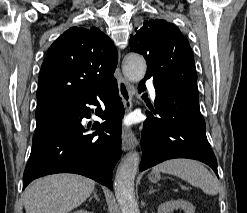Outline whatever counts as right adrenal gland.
<instances>
[{
	"label": "right adrenal gland",
	"instance_id": "1",
	"mask_svg": "<svg viewBox=\"0 0 247 213\" xmlns=\"http://www.w3.org/2000/svg\"><path fill=\"white\" fill-rule=\"evenodd\" d=\"M92 198H95L96 200L100 201V199L98 198L96 190H94L93 196L89 198V201L92 200Z\"/></svg>",
	"mask_w": 247,
	"mask_h": 213
}]
</instances>
